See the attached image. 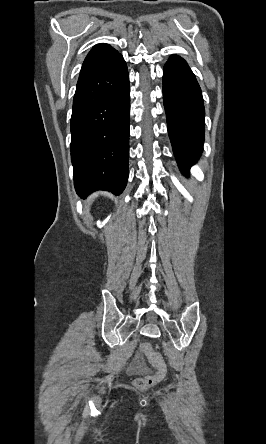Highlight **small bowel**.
<instances>
[{"mask_svg": "<svg viewBox=\"0 0 266 444\" xmlns=\"http://www.w3.org/2000/svg\"><path fill=\"white\" fill-rule=\"evenodd\" d=\"M145 370L143 359L140 355H137L130 367V372L133 374L142 373Z\"/></svg>", "mask_w": 266, "mask_h": 444, "instance_id": "obj_1", "label": "small bowel"}]
</instances>
